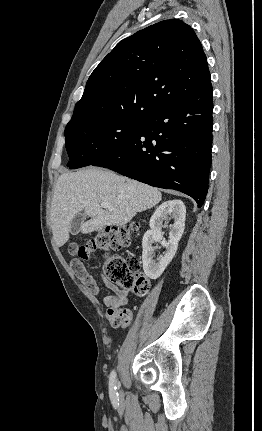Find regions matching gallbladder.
<instances>
[{"mask_svg": "<svg viewBox=\"0 0 262 431\" xmlns=\"http://www.w3.org/2000/svg\"><path fill=\"white\" fill-rule=\"evenodd\" d=\"M85 218H86L85 213H78L74 216L69 229V232L71 235L76 236L79 234Z\"/></svg>", "mask_w": 262, "mask_h": 431, "instance_id": "obj_1", "label": "gallbladder"}]
</instances>
